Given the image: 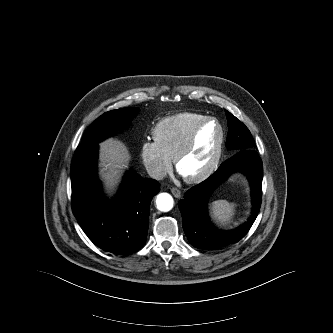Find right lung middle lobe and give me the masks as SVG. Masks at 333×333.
Segmentation results:
<instances>
[{
	"label": "right lung middle lobe",
	"instance_id": "obj_1",
	"mask_svg": "<svg viewBox=\"0 0 333 333\" xmlns=\"http://www.w3.org/2000/svg\"><path fill=\"white\" fill-rule=\"evenodd\" d=\"M138 113V108H122L104 113L87 129L81 145H92L113 135L129 124Z\"/></svg>",
	"mask_w": 333,
	"mask_h": 333
}]
</instances>
